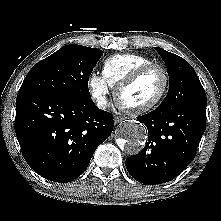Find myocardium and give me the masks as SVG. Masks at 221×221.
<instances>
[{
  "label": "myocardium",
  "mask_w": 221,
  "mask_h": 221,
  "mask_svg": "<svg viewBox=\"0 0 221 221\" xmlns=\"http://www.w3.org/2000/svg\"><path fill=\"white\" fill-rule=\"evenodd\" d=\"M155 68L161 70L163 74V78H164V84L160 93L152 101L143 105L129 106V105L124 104L121 100L122 93L128 87L135 84L144 74H146L148 71L155 69ZM169 86H170V76H169L167 69L159 63H150L135 70L133 73H131L128 77H126L116 86L115 101H116L117 106L123 111L134 113V114H141L157 107L165 98L168 92Z\"/></svg>",
  "instance_id": "myocardium-1"
}]
</instances>
